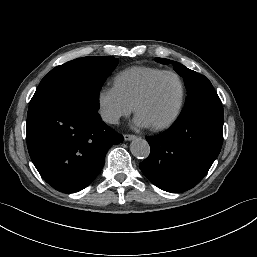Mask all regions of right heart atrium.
<instances>
[{
    "instance_id": "obj_1",
    "label": "right heart atrium",
    "mask_w": 257,
    "mask_h": 257,
    "mask_svg": "<svg viewBox=\"0 0 257 257\" xmlns=\"http://www.w3.org/2000/svg\"><path fill=\"white\" fill-rule=\"evenodd\" d=\"M97 103L102 119L109 124H117L134 110L116 87L103 86L98 91Z\"/></svg>"
}]
</instances>
